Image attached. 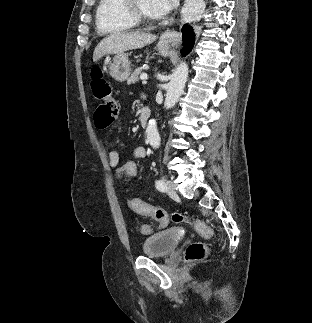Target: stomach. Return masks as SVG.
Returning <instances> with one entry per match:
<instances>
[{
  "label": "stomach",
  "instance_id": "obj_1",
  "mask_svg": "<svg viewBox=\"0 0 312 323\" xmlns=\"http://www.w3.org/2000/svg\"><path fill=\"white\" fill-rule=\"evenodd\" d=\"M157 50L161 56H169L170 48L167 38L161 36L157 44ZM109 70L110 76H112L114 80H117V82H124V80H127L131 72L128 56H126V54H117V56H114L112 64L109 66Z\"/></svg>",
  "mask_w": 312,
  "mask_h": 323
}]
</instances>
